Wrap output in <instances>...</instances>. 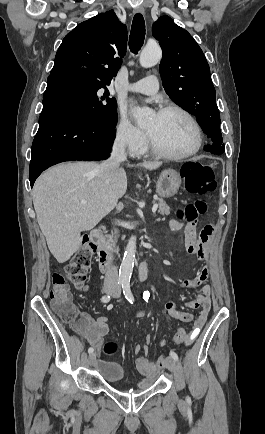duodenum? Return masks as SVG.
<instances>
[{
	"mask_svg": "<svg viewBox=\"0 0 265 434\" xmlns=\"http://www.w3.org/2000/svg\"><path fill=\"white\" fill-rule=\"evenodd\" d=\"M103 233H104V228L102 226L92 229L90 232V240L95 244L102 245ZM97 263L99 269L104 274H107L110 268H112V266L115 264V259L111 255L110 250L107 246H104L98 250ZM137 274H138L139 281H145L150 277L151 265L148 260H144L138 264Z\"/></svg>",
	"mask_w": 265,
	"mask_h": 434,
	"instance_id": "obj_1",
	"label": "duodenum"
}]
</instances>
